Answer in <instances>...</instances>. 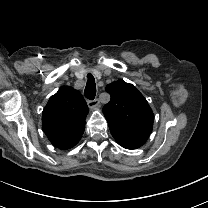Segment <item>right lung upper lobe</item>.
Listing matches in <instances>:
<instances>
[{"instance_id":"right-lung-upper-lobe-1","label":"right lung upper lobe","mask_w":208,"mask_h":208,"mask_svg":"<svg viewBox=\"0 0 208 208\" xmlns=\"http://www.w3.org/2000/svg\"><path fill=\"white\" fill-rule=\"evenodd\" d=\"M89 112L81 93L68 86L50 97L42 113V128L50 142L60 147L80 138Z\"/></svg>"}]
</instances>
